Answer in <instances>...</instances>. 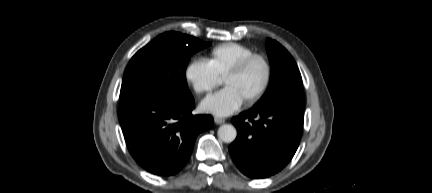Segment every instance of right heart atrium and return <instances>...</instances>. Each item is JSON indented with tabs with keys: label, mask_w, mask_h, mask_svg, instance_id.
Instances as JSON below:
<instances>
[{
	"label": "right heart atrium",
	"mask_w": 432,
	"mask_h": 193,
	"mask_svg": "<svg viewBox=\"0 0 432 193\" xmlns=\"http://www.w3.org/2000/svg\"><path fill=\"white\" fill-rule=\"evenodd\" d=\"M186 77L193 90L201 94L211 93L220 83L219 78L211 73L209 66L204 62L190 64Z\"/></svg>",
	"instance_id": "obj_1"
}]
</instances>
